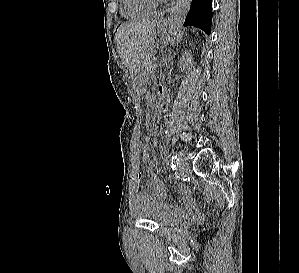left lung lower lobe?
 Segmentation results:
<instances>
[{
	"label": "left lung lower lobe",
	"instance_id": "left-lung-lower-lobe-1",
	"mask_svg": "<svg viewBox=\"0 0 299 273\" xmlns=\"http://www.w3.org/2000/svg\"><path fill=\"white\" fill-rule=\"evenodd\" d=\"M212 0H192L184 26L193 25L206 34L211 32Z\"/></svg>",
	"mask_w": 299,
	"mask_h": 273
}]
</instances>
